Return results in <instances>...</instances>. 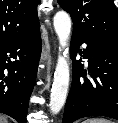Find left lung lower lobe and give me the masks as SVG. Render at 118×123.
Wrapping results in <instances>:
<instances>
[{"mask_svg": "<svg viewBox=\"0 0 118 123\" xmlns=\"http://www.w3.org/2000/svg\"><path fill=\"white\" fill-rule=\"evenodd\" d=\"M86 43L81 52L79 45ZM88 59V70L81 58ZM70 55L73 62L72 85L66 101L62 123L89 116H106L118 120V48L73 33ZM89 74L93 81L85 77Z\"/></svg>", "mask_w": 118, "mask_h": 123, "instance_id": "left-lung-lower-lobe-1", "label": "left lung lower lobe"}]
</instances>
